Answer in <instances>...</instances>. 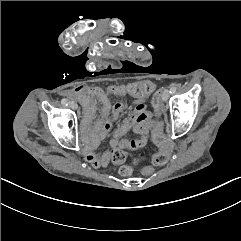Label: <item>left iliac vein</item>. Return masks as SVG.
Here are the masks:
<instances>
[{
	"mask_svg": "<svg viewBox=\"0 0 241 241\" xmlns=\"http://www.w3.org/2000/svg\"><path fill=\"white\" fill-rule=\"evenodd\" d=\"M169 96H170L169 90H165L162 94V100L166 102L169 99Z\"/></svg>",
	"mask_w": 241,
	"mask_h": 241,
	"instance_id": "4c4485c4",
	"label": "left iliac vein"
}]
</instances>
